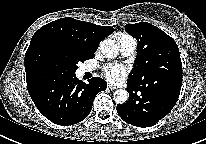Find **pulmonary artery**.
Masks as SVG:
<instances>
[{
    "mask_svg": "<svg viewBox=\"0 0 206 144\" xmlns=\"http://www.w3.org/2000/svg\"><path fill=\"white\" fill-rule=\"evenodd\" d=\"M120 51L123 56H131L137 47L136 40L130 36H123L119 40ZM91 68L85 67L84 71H90Z\"/></svg>",
    "mask_w": 206,
    "mask_h": 144,
    "instance_id": "e3ab8cb5",
    "label": "pulmonary artery"
}]
</instances>
